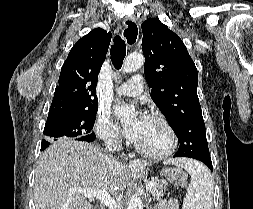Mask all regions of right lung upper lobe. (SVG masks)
<instances>
[{
	"label": "right lung upper lobe",
	"mask_w": 253,
	"mask_h": 209,
	"mask_svg": "<svg viewBox=\"0 0 253 209\" xmlns=\"http://www.w3.org/2000/svg\"><path fill=\"white\" fill-rule=\"evenodd\" d=\"M111 33L96 28L80 38L64 62L48 116L98 106L96 85Z\"/></svg>",
	"instance_id": "right-lung-upper-lobe-1"
}]
</instances>
